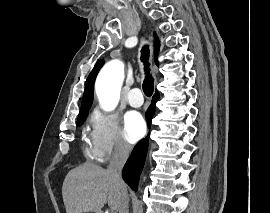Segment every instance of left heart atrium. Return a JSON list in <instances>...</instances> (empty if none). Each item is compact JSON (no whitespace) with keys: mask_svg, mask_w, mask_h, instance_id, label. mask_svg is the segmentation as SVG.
I'll return each mask as SVG.
<instances>
[{"mask_svg":"<svg viewBox=\"0 0 270 213\" xmlns=\"http://www.w3.org/2000/svg\"><path fill=\"white\" fill-rule=\"evenodd\" d=\"M146 126L143 117L137 112H130L125 116L123 137L128 143H135L145 133Z\"/></svg>","mask_w":270,"mask_h":213,"instance_id":"1","label":"left heart atrium"}]
</instances>
